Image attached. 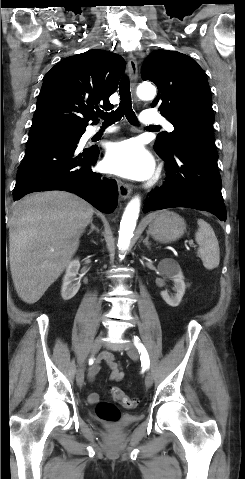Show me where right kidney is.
I'll list each match as a JSON object with an SVG mask.
<instances>
[{
    "label": "right kidney",
    "instance_id": "obj_1",
    "mask_svg": "<svg viewBox=\"0 0 245 479\" xmlns=\"http://www.w3.org/2000/svg\"><path fill=\"white\" fill-rule=\"evenodd\" d=\"M79 269L80 262L78 259L72 260L66 268L61 288V296L65 301L72 299L81 286L80 281L76 278Z\"/></svg>",
    "mask_w": 245,
    "mask_h": 479
}]
</instances>
